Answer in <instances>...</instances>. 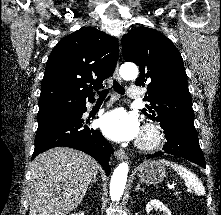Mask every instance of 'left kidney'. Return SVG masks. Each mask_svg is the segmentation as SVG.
Masks as SVG:
<instances>
[{
  "instance_id": "left-kidney-1",
  "label": "left kidney",
  "mask_w": 221,
  "mask_h": 215,
  "mask_svg": "<svg viewBox=\"0 0 221 215\" xmlns=\"http://www.w3.org/2000/svg\"><path fill=\"white\" fill-rule=\"evenodd\" d=\"M152 210H160L163 212L162 215H171V212L169 211V209L159 200H151L150 202H148V204L146 205V211L147 213H149Z\"/></svg>"
}]
</instances>
